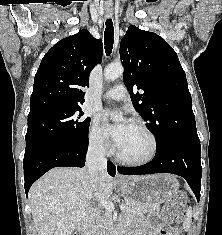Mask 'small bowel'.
Returning <instances> with one entry per match:
<instances>
[{"label": "small bowel", "instance_id": "1", "mask_svg": "<svg viewBox=\"0 0 222 235\" xmlns=\"http://www.w3.org/2000/svg\"><path fill=\"white\" fill-rule=\"evenodd\" d=\"M157 224H158L157 216L152 215L150 216L149 220L146 223L147 228L140 229L138 232H136L133 235H157L156 233Z\"/></svg>", "mask_w": 222, "mask_h": 235}]
</instances>
